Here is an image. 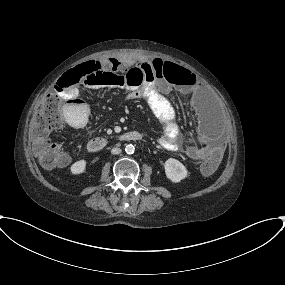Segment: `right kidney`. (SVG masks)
Returning <instances> with one entry per match:
<instances>
[{
	"mask_svg": "<svg viewBox=\"0 0 285 285\" xmlns=\"http://www.w3.org/2000/svg\"><path fill=\"white\" fill-rule=\"evenodd\" d=\"M86 169V161L85 160H79L75 163H73L70 167V170L72 174H81Z\"/></svg>",
	"mask_w": 285,
	"mask_h": 285,
	"instance_id": "ca27d5eb",
	"label": "right kidney"
}]
</instances>
